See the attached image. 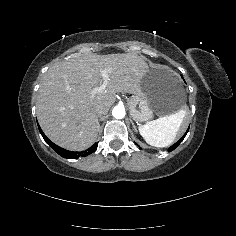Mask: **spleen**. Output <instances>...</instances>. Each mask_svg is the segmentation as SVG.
Returning a JSON list of instances; mask_svg holds the SVG:
<instances>
[{"instance_id": "spleen-1", "label": "spleen", "mask_w": 236, "mask_h": 236, "mask_svg": "<svg viewBox=\"0 0 236 236\" xmlns=\"http://www.w3.org/2000/svg\"><path fill=\"white\" fill-rule=\"evenodd\" d=\"M186 116L187 109H181L175 114L142 125L140 127L141 134L154 147H168L177 138Z\"/></svg>"}]
</instances>
